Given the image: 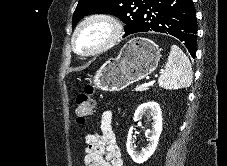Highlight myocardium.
<instances>
[{
    "label": "myocardium",
    "mask_w": 227,
    "mask_h": 166,
    "mask_svg": "<svg viewBox=\"0 0 227 166\" xmlns=\"http://www.w3.org/2000/svg\"><path fill=\"white\" fill-rule=\"evenodd\" d=\"M95 22H101V23L106 24L110 28L111 33H110L109 37L96 48L89 50V51H83V50L79 49V47L77 45V37H78L79 33L86 26H88L91 23H95ZM123 34H124L123 26L119 22V20L117 18H115L114 16H112L110 14H106V13L92 14V15L85 17L83 20H81L75 27L73 34L71 36V46H72L73 50L76 53H78L79 55L95 56V55H99V54L109 50L113 46H115L121 40V38L123 37Z\"/></svg>",
    "instance_id": "f54148a6"
}]
</instances>
